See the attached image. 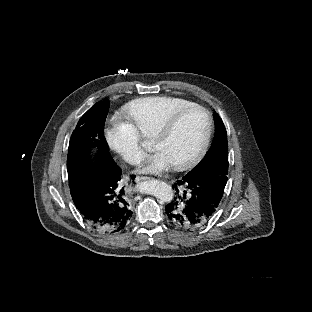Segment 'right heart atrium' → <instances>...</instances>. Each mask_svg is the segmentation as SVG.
Instances as JSON below:
<instances>
[{"instance_id":"1","label":"right heart atrium","mask_w":312,"mask_h":312,"mask_svg":"<svg viewBox=\"0 0 312 312\" xmlns=\"http://www.w3.org/2000/svg\"><path fill=\"white\" fill-rule=\"evenodd\" d=\"M141 138L138 125L127 120L110 125L104 144L125 163L144 167L150 163L151 155Z\"/></svg>"}]
</instances>
